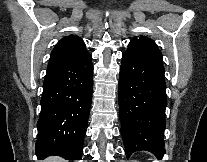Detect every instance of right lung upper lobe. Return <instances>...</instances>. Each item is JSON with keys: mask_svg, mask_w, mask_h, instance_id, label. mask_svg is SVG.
Listing matches in <instances>:
<instances>
[{"mask_svg": "<svg viewBox=\"0 0 207 162\" xmlns=\"http://www.w3.org/2000/svg\"><path fill=\"white\" fill-rule=\"evenodd\" d=\"M89 55L85 44L76 35L62 38L53 49L48 70L76 62Z\"/></svg>", "mask_w": 207, "mask_h": 162, "instance_id": "cb5924a9", "label": "right lung upper lobe"}]
</instances>
